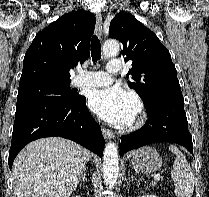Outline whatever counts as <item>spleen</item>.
Listing matches in <instances>:
<instances>
[{
	"instance_id": "obj_1",
	"label": "spleen",
	"mask_w": 209,
	"mask_h": 197,
	"mask_svg": "<svg viewBox=\"0 0 209 197\" xmlns=\"http://www.w3.org/2000/svg\"><path fill=\"white\" fill-rule=\"evenodd\" d=\"M169 150L176 155L171 170L176 197H191L194 191V174L183 153L174 145Z\"/></svg>"
}]
</instances>
